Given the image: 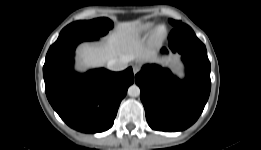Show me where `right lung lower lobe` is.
<instances>
[{"mask_svg": "<svg viewBox=\"0 0 261 150\" xmlns=\"http://www.w3.org/2000/svg\"><path fill=\"white\" fill-rule=\"evenodd\" d=\"M99 36L67 34L49 48L43 76L47 98L67 125L84 133L112 127L121 100L134 82L132 68L122 72L95 69L85 74L73 71L76 46Z\"/></svg>", "mask_w": 261, "mask_h": 150, "instance_id": "obj_1", "label": "right lung lower lobe"}]
</instances>
